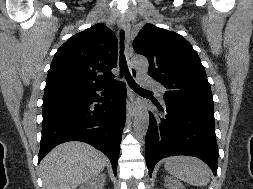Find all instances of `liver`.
Wrapping results in <instances>:
<instances>
[{"instance_id": "1", "label": "liver", "mask_w": 253, "mask_h": 189, "mask_svg": "<svg viewBox=\"0 0 253 189\" xmlns=\"http://www.w3.org/2000/svg\"><path fill=\"white\" fill-rule=\"evenodd\" d=\"M106 164V156L89 144H60L41 161L43 189H76L102 172Z\"/></svg>"}]
</instances>
